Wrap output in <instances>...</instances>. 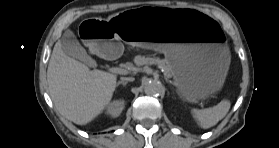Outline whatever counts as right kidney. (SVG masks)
<instances>
[{
    "label": "right kidney",
    "mask_w": 279,
    "mask_h": 148,
    "mask_svg": "<svg viewBox=\"0 0 279 148\" xmlns=\"http://www.w3.org/2000/svg\"><path fill=\"white\" fill-rule=\"evenodd\" d=\"M125 107L123 100H115L107 106L106 113L111 117H118Z\"/></svg>",
    "instance_id": "ca27d5eb"
}]
</instances>
